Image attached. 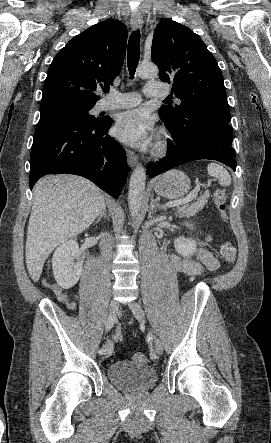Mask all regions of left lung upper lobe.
I'll use <instances>...</instances> for the list:
<instances>
[{"label":"left lung upper lobe","instance_id":"1","mask_svg":"<svg viewBox=\"0 0 271 443\" xmlns=\"http://www.w3.org/2000/svg\"><path fill=\"white\" fill-rule=\"evenodd\" d=\"M152 61L162 81L173 80L175 96L181 100L180 105L159 109L168 122L183 120L204 105L229 109L218 63L188 27L171 19L160 21L153 35Z\"/></svg>","mask_w":271,"mask_h":443}]
</instances>
